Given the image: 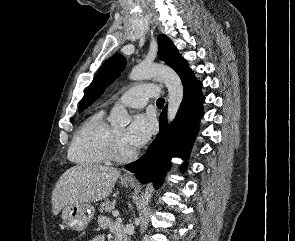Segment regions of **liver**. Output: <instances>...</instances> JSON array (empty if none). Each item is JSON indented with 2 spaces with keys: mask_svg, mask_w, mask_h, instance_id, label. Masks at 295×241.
I'll return each mask as SVG.
<instances>
[{
  "mask_svg": "<svg viewBox=\"0 0 295 241\" xmlns=\"http://www.w3.org/2000/svg\"><path fill=\"white\" fill-rule=\"evenodd\" d=\"M120 172L113 167L82 164L66 170L52 192V209L56 216L67 205L91 203L107 198Z\"/></svg>",
  "mask_w": 295,
  "mask_h": 241,
  "instance_id": "obj_1",
  "label": "liver"
}]
</instances>
